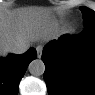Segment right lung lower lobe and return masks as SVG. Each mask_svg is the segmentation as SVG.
<instances>
[{"label": "right lung lower lobe", "mask_w": 95, "mask_h": 95, "mask_svg": "<svg viewBox=\"0 0 95 95\" xmlns=\"http://www.w3.org/2000/svg\"><path fill=\"white\" fill-rule=\"evenodd\" d=\"M37 57V52L31 48L23 55H9L0 59V92L3 95H17L19 82L29 63Z\"/></svg>", "instance_id": "98d812e1"}]
</instances>
